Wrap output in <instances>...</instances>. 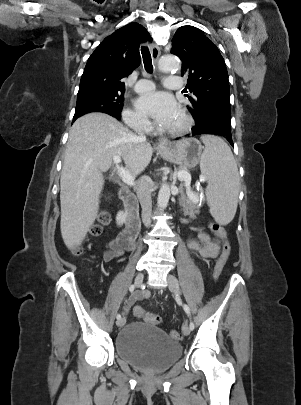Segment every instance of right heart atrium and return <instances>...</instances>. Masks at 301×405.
Here are the masks:
<instances>
[{
	"instance_id": "1",
	"label": "right heart atrium",
	"mask_w": 301,
	"mask_h": 405,
	"mask_svg": "<svg viewBox=\"0 0 301 405\" xmlns=\"http://www.w3.org/2000/svg\"><path fill=\"white\" fill-rule=\"evenodd\" d=\"M123 119L131 129L136 131H147L151 127L150 121L146 117L131 109L123 112Z\"/></svg>"
}]
</instances>
